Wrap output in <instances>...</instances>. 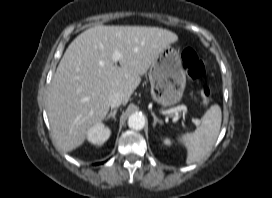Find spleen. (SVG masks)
<instances>
[{
  "mask_svg": "<svg viewBox=\"0 0 272 198\" xmlns=\"http://www.w3.org/2000/svg\"><path fill=\"white\" fill-rule=\"evenodd\" d=\"M222 121L221 108L211 106L201 118V125L192 133L177 137L187 149V164L200 161L214 146Z\"/></svg>",
  "mask_w": 272,
  "mask_h": 198,
  "instance_id": "1",
  "label": "spleen"
}]
</instances>
